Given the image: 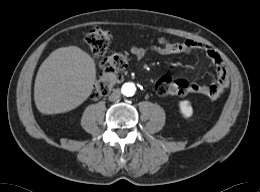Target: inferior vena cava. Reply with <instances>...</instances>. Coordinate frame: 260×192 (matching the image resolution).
Instances as JSON below:
<instances>
[{
    "label": "inferior vena cava",
    "mask_w": 260,
    "mask_h": 192,
    "mask_svg": "<svg viewBox=\"0 0 260 192\" xmlns=\"http://www.w3.org/2000/svg\"><path fill=\"white\" fill-rule=\"evenodd\" d=\"M120 95H121L120 90L116 89V90H114V91L110 94L109 100H110V101H116L117 99L120 98Z\"/></svg>",
    "instance_id": "inferior-vena-cava-1"
}]
</instances>
